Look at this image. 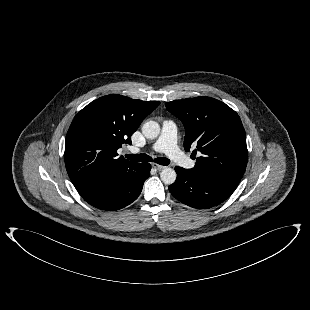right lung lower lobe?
I'll return each instance as SVG.
<instances>
[{
    "instance_id": "1",
    "label": "right lung lower lobe",
    "mask_w": 310,
    "mask_h": 310,
    "mask_svg": "<svg viewBox=\"0 0 310 310\" xmlns=\"http://www.w3.org/2000/svg\"><path fill=\"white\" fill-rule=\"evenodd\" d=\"M151 165L139 163L132 170L116 174L77 190L90 205L107 211L121 209L140 195Z\"/></svg>"
}]
</instances>
